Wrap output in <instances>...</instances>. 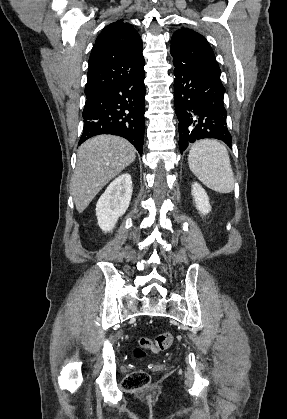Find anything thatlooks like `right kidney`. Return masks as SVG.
Instances as JSON below:
<instances>
[{"label":"right kidney","instance_id":"obj_1","mask_svg":"<svg viewBox=\"0 0 287 419\" xmlns=\"http://www.w3.org/2000/svg\"><path fill=\"white\" fill-rule=\"evenodd\" d=\"M132 191L130 174H122L110 183L96 204V216L102 231H112L118 218L125 214Z\"/></svg>","mask_w":287,"mask_h":419}]
</instances>
